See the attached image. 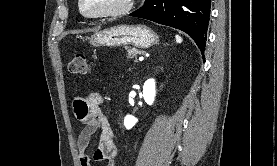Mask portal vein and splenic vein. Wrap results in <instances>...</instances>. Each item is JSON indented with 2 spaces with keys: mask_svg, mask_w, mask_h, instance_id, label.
<instances>
[{
  "mask_svg": "<svg viewBox=\"0 0 277 166\" xmlns=\"http://www.w3.org/2000/svg\"><path fill=\"white\" fill-rule=\"evenodd\" d=\"M144 60V57L143 56H140L139 57V61H143Z\"/></svg>",
  "mask_w": 277,
  "mask_h": 166,
  "instance_id": "portal-vein-and-splenic-vein-1",
  "label": "portal vein and splenic vein"
}]
</instances>
